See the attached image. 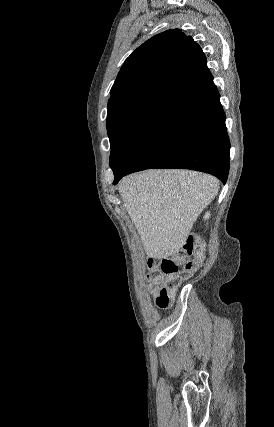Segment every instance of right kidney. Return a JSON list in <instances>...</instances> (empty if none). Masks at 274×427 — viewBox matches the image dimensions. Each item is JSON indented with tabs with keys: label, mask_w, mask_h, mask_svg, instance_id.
Masks as SVG:
<instances>
[{
	"label": "right kidney",
	"mask_w": 274,
	"mask_h": 427,
	"mask_svg": "<svg viewBox=\"0 0 274 427\" xmlns=\"http://www.w3.org/2000/svg\"><path fill=\"white\" fill-rule=\"evenodd\" d=\"M208 217H210L209 212H206V214L204 215V219H208Z\"/></svg>",
	"instance_id": "1"
}]
</instances>
